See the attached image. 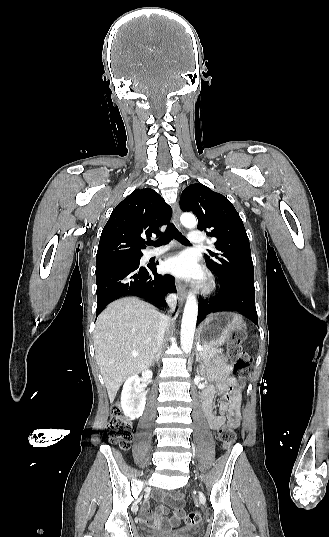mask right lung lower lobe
I'll use <instances>...</instances> for the list:
<instances>
[{
	"label": "right lung lower lobe",
	"instance_id": "right-lung-lower-lobe-1",
	"mask_svg": "<svg viewBox=\"0 0 329 537\" xmlns=\"http://www.w3.org/2000/svg\"><path fill=\"white\" fill-rule=\"evenodd\" d=\"M140 262L110 261L96 264V317L111 301L123 296H138L164 309L165 296L176 292L171 275L156 273V264L140 266Z\"/></svg>",
	"mask_w": 329,
	"mask_h": 537
}]
</instances>
